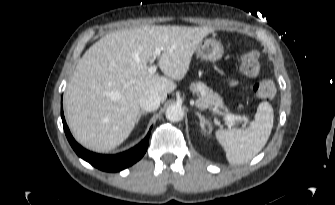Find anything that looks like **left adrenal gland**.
Returning <instances> with one entry per match:
<instances>
[{"label":"left adrenal gland","mask_w":335,"mask_h":205,"mask_svg":"<svg viewBox=\"0 0 335 205\" xmlns=\"http://www.w3.org/2000/svg\"><path fill=\"white\" fill-rule=\"evenodd\" d=\"M196 115L198 116L199 120H200V127L202 128V130L205 129V125H207L209 123V121L203 116L201 115L200 112H196Z\"/></svg>","instance_id":"a2214340"}]
</instances>
